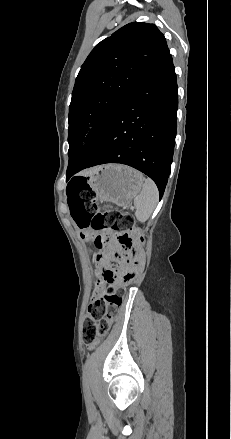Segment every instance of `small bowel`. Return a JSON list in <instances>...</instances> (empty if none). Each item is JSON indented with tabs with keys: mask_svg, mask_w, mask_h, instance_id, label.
Instances as JSON below:
<instances>
[{
	"mask_svg": "<svg viewBox=\"0 0 231 439\" xmlns=\"http://www.w3.org/2000/svg\"><path fill=\"white\" fill-rule=\"evenodd\" d=\"M112 240H113L112 235L108 234V241H109V243H111ZM109 255H110V253L106 252L100 258H98L97 265H98V267H99V269L101 271L105 269V267H106V257H108ZM103 290H104V284L101 283V282L98 283L97 286L95 287L93 296L94 297L99 296L103 292Z\"/></svg>",
	"mask_w": 231,
	"mask_h": 439,
	"instance_id": "1",
	"label": "small bowel"
}]
</instances>
